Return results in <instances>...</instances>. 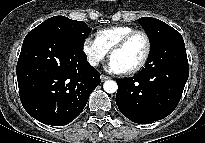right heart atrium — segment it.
I'll use <instances>...</instances> for the list:
<instances>
[{"mask_svg": "<svg viewBox=\"0 0 205 143\" xmlns=\"http://www.w3.org/2000/svg\"><path fill=\"white\" fill-rule=\"evenodd\" d=\"M83 53L91 66H98L108 55V51L97 39L86 37L82 45Z\"/></svg>", "mask_w": 205, "mask_h": 143, "instance_id": "1", "label": "right heart atrium"}]
</instances>
